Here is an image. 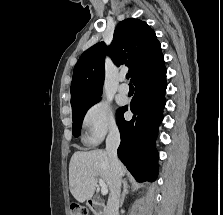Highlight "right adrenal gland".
Listing matches in <instances>:
<instances>
[{"mask_svg":"<svg viewBox=\"0 0 223 215\" xmlns=\"http://www.w3.org/2000/svg\"><path fill=\"white\" fill-rule=\"evenodd\" d=\"M129 191H131V187H130L129 183H127V181H123V191H122L119 207H122L123 201L125 199V195H126V193H129Z\"/></svg>","mask_w":223,"mask_h":215,"instance_id":"right-adrenal-gland-1","label":"right adrenal gland"}]
</instances>
